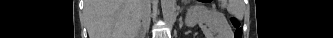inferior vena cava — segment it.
<instances>
[{"label":"inferior vena cava","instance_id":"602c4592","mask_svg":"<svg viewBox=\"0 0 333 38\" xmlns=\"http://www.w3.org/2000/svg\"><path fill=\"white\" fill-rule=\"evenodd\" d=\"M142 21L143 24L148 26L151 20V0H143L142 6Z\"/></svg>","mask_w":333,"mask_h":38}]
</instances>
